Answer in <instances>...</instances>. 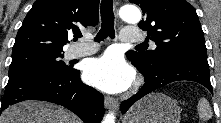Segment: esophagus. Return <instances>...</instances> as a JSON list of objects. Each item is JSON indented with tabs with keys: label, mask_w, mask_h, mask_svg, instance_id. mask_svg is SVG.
I'll list each match as a JSON object with an SVG mask.
<instances>
[{
	"label": "esophagus",
	"mask_w": 221,
	"mask_h": 123,
	"mask_svg": "<svg viewBox=\"0 0 221 123\" xmlns=\"http://www.w3.org/2000/svg\"><path fill=\"white\" fill-rule=\"evenodd\" d=\"M104 101H105V105H106L107 108L117 109L118 103H117V101L114 98H112L110 96H105Z\"/></svg>",
	"instance_id": "34e87169"
}]
</instances>
